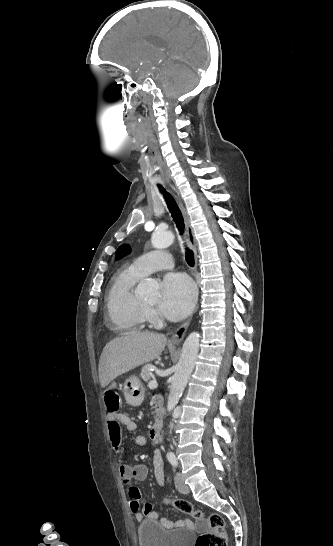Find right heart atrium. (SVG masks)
Masks as SVG:
<instances>
[{"label": "right heart atrium", "mask_w": 333, "mask_h": 546, "mask_svg": "<svg viewBox=\"0 0 333 546\" xmlns=\"http://www.w3.org/2000/svg\"><path fill=\"white\" fill-rule=\"evenodd\" d=\"M146 315H147V318H154L155 317V314H154V311L150 308H146Z\"/></svg>", "instance_id": "right-heart-atrium-1"}]
</instances>
